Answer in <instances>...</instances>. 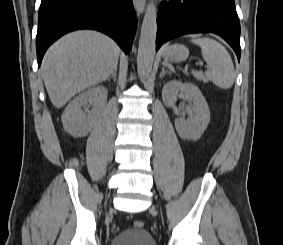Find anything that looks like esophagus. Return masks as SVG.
I'll list each match as a JSON object with an SVG mask.
<instances>
[{"label": "esophagus", "instance_id": "34e87169", "mask_svg": "<svg viewBox=\"0 0 283 245\" xmlns=\"http://www.w3.org/2000/svg\"><path fill=\"white\" fill-rule=\"evenodd\" d=\"M133 5L138 14H142L145 10L146 1L145 0H133Z\"/></svg>", "mask_w": 283, "mask_h": 245}]
</instances>
